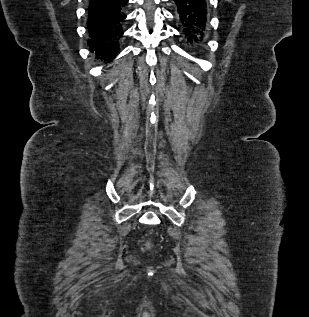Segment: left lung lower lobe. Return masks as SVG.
<instances>
[{
	"instance_id": "left-lung-lower-lobe-1",
	"label": "left lung lower lobe",
	"mask_w": 309,
	"mask_h": 317,
	"mask_svg": "<svg viewBox=\"0 0 309 317\" xmlns=\"http://www.w3.org/2000/svg\"><path fill=\"white\" fill-rule=\"evenodd\" d=\"M176 16L181 24L187 44L200 48L209 31L208 0H173Z\"/></svg>"
}]
</instances>
